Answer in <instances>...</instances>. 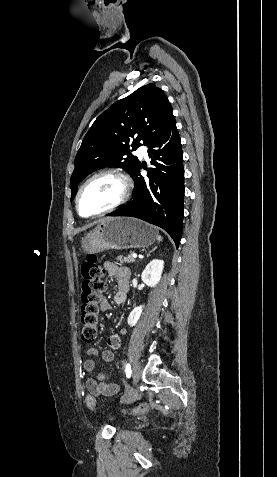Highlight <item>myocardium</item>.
Returning <instances> with one entry per match:
<instances>
[{
    "label": "myocardium",
    "instance_id": "f54148a6",
    "mask_svg": "<svg viewBox=\"0 0 277 477\" xmlns=\"http://www.w3.org/2000/svg\"><path fill=\"white\" fill-rule=\"evenodd\" d=\"M102 176H111V177H114V178H116L120 181V183L122 185V192H121V195H120L119 199L114 204H112L111 206H109L108 208H106V209H104L100 212L93 213V214L82 213V211L80 209V199H81V195H82L84 189L93 180H95L99 177H102ZM130 191H131L130 182H129L128 178L122 172H120L118 170H114V169H105V170L98 171V172L94 173L93 175H91L89 178H87L83 182V184L80 186V188L77 192L76 198H75L76 210H77V212L79 213L80 216L85 217V218H94V217H100V216L106 215L108 213H111V212L117 210L121 206H123L127 202V200L129 199Z\"/></svg>",
    "mask_w": 277,
    "mask_h": 477
}]
</instances>
